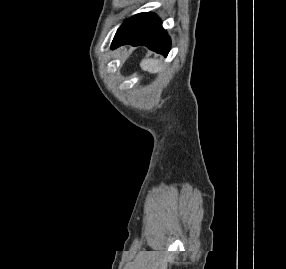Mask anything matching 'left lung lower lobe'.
Wrapping results in <instances>:
<instances>
[{"instance_id":"left-lung-lower-lobe-1","label":"left lung lower lobe","mask_w":286,"mask_h":269,"mask_svg":"<svg viewBox=\"0 0 286 269\" xmlns=\"http://www.w3.org/2000/svg\"><path fill=\"white\" fill-rule=\"evenodd\" d=\"M131 44L145 45L162 55L170 50V38L164 31L160 19L153 13H140L127 19L117 30L111 48Z\"/></svg>"}]
</instances>
